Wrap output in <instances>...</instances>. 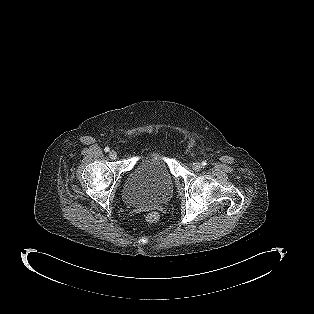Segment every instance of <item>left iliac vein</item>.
<instances>
[{
  "label": "left iliac vein",
  "instance_id": "left-iliac-vein-1",
  "mask_svg": "<svg viewBox=\"0 0 314 314\" xmlns=\"http://www.w3.org/2000/svg\"><path fill=\"white\" fill-rule=\"evenodd\" d=\"M192 168L195 170V171H199L202 166L199 162H194L193 165H192Z\"/></svg>",
  "mask_w": 314,
  "mask_h": 314
}]
</instances>
